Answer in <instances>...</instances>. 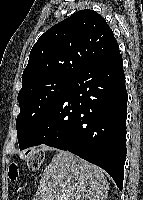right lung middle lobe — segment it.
Here are the masks:
<instances>
[{
	"instance_id": "1",
	"label": "right lung middle lobe",
	"mask_w": 143,
	"mask_h": 200,
	"mask_svg": "<svg viewBox=\"0 0 143 200\" xmlns=\"http://www.w3.org/2000/svg\"><path fill=\"white\" fill-rule=\"evenodd\" d=\"M72 77L52 76L23 87L18 94L20 113L16 119L21 150L45 113L61 96Z\"/></svg>"
}]
</instances>
